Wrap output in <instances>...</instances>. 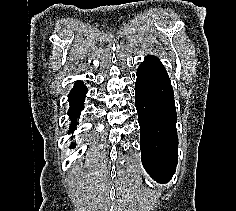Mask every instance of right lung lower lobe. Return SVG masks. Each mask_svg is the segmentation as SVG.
<instances>
[{
    "mask_svg": "<svg viewBox=\"0 0 236 211\" xmlns=\"http://www.w3.org/2000/svg\"><path fill=\"white\" fill-rule=\"evenodd\" d=\"M87 88L84 86L81 81H77L72 91L68 95V101L70 102V109L68 110L69 117L72 120H76L80 115V112L84 108V100L87 93ZM75 125H77L76 121H72L71 130L73 132L75 129ZM74 144H72V147Z\"/></svg>",
    "mask_w": 236,
    "mask_h": 211,
    "instance_id": "98d812e1",
    "label": "right lung lower lobe"
}]
</instances>
